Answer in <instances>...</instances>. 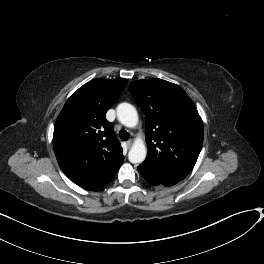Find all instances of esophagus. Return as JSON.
I'll return each mask as SVG.
<instances>
[{"label": "esophagus", "instance_id": "34e87169", "mask_svg": "<svg viewBox=\"0 0 264 264\" xmlns=\"http://www.w3.org/2000/svg\"><path fill=\"white\" fill-rule=\"evenodd\" d=\"M132 144H133V140L132 139L127 141L128 148H130L132 146Z\"/></svg>", "mask_w": 264, "mask_h": 264}]
</instances>
